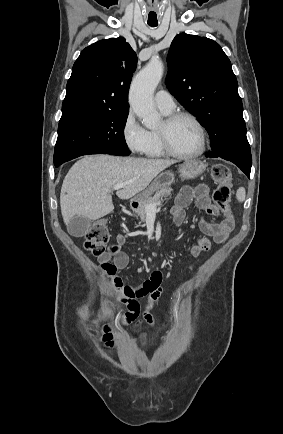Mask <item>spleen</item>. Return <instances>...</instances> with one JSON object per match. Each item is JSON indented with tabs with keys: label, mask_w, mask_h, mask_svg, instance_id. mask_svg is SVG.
I'll return each mask as SVG.
<instances>
[{
	"label": "spleen",
	"mask_w": 283,
	"mask_h": 434,
	"mask_svg": "<svg viewBox=\"0 0 283 434\" xmlns=\"http://www.w3.org/2000/svg\"><path fill=\"white\" fill-rule=\"evenodd\" d=\"M246 192L244 188H239L236 193V198L239 202H243L245 200Z\"/></svg>",
	"instance_id": "3e777b00"
}]
</instances>
